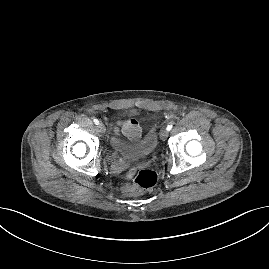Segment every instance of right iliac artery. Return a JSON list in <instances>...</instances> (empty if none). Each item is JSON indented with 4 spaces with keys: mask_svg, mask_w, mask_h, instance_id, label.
Returning <instances> with one entry per match:
<instances>
[{
    "mask_svg": "<svg viewBox=\"0 0 269 269\" xmlns=\"http://www.w3.org/2000/svg\"><path fill=\"white\" fill-rule=\"evenodd\" d=\"M94 123H95L96 125H98V124H99V120H98V119H94Z\"/></svg>",
    "mask_w": 269,
    "mask_h": 269,
    "instance_id": "1",
    "label": "right iliac artery"
}]
</instances>
